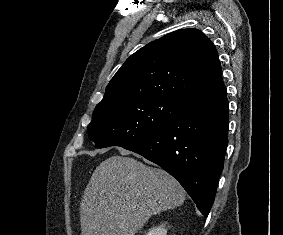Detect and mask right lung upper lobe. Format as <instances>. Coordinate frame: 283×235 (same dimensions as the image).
<instances>
[{
    "label": "right lung upper lobe",
    "mask_w": 283,
    "mask_h": 235,
    "mask_svg": "<svg viewBox=\"0 0 283 235\" xmlns=\"http://www.w3.org/2000/svg\"><path fill=\"white\" fill-rule=\"evenodd\" d=\"M223 84L213 43L198 29H180L131 55L98 105L131 97H168L183 102Z\"/></svg>",
    "instance_id": "obj_1"
}]
</instances>
